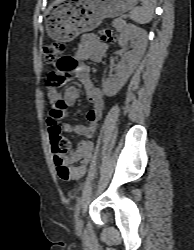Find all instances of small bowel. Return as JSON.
<instances>
[{
    "label": "small bowel",
    "mask_w": 194,
    "mask_h": 250,
    "mask_svg": "<svg viewBox=\"0 0 194 250\" xmlns=\"http://www.w3.org/2000/svg\"><path fill=\"white\" fill-rule=\"evenodd\" d=\"M107 50V44L93 33L84 34L81 37L80 44L72 57H64L63 65L57 64L52 71L63 72L65 79H78L86 90L88 101L92 108L86 113L85 123L71 126L69 124H61L67 113V110L73 106L79 98V89L76 86H68L65 88L63 95L56 90L48 87L49 97L52 102L48 115V129L50 136L62 133V131L70 132L84 139L81 140L74 153L66 158V164L71 171V176L66 180H77L82 178L91 161L94 151V144L91 141L94 135L99 119L104 108V91L102 88L93 85L89 73L90 68L85 61L102 62ZM61 67L64 69L61 70ZM61 101L63 107L57 106Z\"/></svg>",
    "instance_id": "c3829d8e"
}]
</instances>
